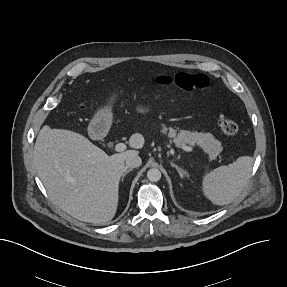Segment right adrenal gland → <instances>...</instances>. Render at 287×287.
<instances>
[{"mask_svg":"<svg viewBox=\"0 0 287 287\" xmlns=\"http://www.w3.org/2000/svg\"><path fill=\"white\" fill-rule=\"evenodd\" d=\"M133 169L131 168V169H125V171H124V173H123V176H122V181L124 180V177L130 172V171H132Z\"/></svg>","mask_w":287,"mask_h":287,"instance_id":"2a0ac1e0","label":"right adrenal gland"}]
</instances>
